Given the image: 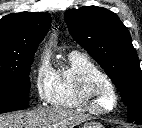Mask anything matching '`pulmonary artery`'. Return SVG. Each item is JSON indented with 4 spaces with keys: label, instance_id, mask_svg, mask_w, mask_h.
Here are the masks:
<instances>
[{
    "label": "pulmonary artery",
    "instance_id": "e3ab8cb5",
    "mask_svg": "<svg viewBox=\"0 0 142 128\" xmlns=\"http://www.w3.org/2000/svg\"><path fill=\"white\" fill-rule=\"evenodd\" d=\"M72 53H78L77 51H73Z\"/></svg>",
    "mask_w": 142,
    "mask_h": 128
}]
</instances>
